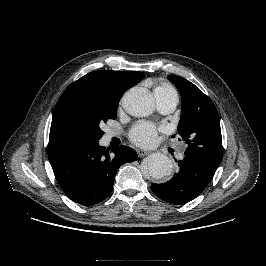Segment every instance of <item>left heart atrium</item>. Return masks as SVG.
<instances>
[{
	"instance_id": "obj_1",
	"label": "left heart atrium",
	"mask_w": 266,
	"mask_h": 266,
	"mask_svg": "<svg viewBox=\"0 0 266 266\" xmlns=\"http://www.w3.org/2000/svg\"><path fill=\"white\" fill-rule=\"evenodd\" d=\"M157 133L158 130L152 123L140 122L132 127L129 138L134 144L147 147L155 142Z\"/></svg>"
}]
</instances>
